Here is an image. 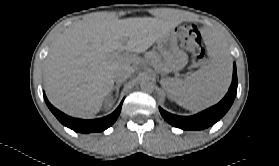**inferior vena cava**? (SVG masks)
<instances>
[{
  "mask_svg": "<svg viewBox=\"0 0 279 166\" xmlns=\"http://www.w3.org/2000/svg\"><path fill=\"white\" fill-rule=\"evenodd\" d=\"M134 72V69L131 66H126L118 69L114 73V80L117 83L126 81Z\"/></svg>",
  "mask_w": 279,
  "mask_h": 166,
  "instance_id": "inferior-vena-cava-1",
  "label": "inferior vena cava"
}]
</instances>
